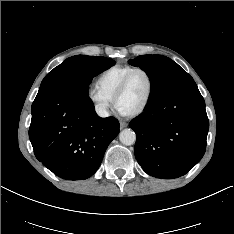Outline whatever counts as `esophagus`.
I'll return each instance as SVG.
<instances>
[{"instance_id": "1", "label": "esophagus", "mask_w": 234, "mask_h": 234, "mask_svg": "<svg viewBox=\"0 0 234 234\" xmlns=\"http://www.w3.org/2000/svg\"><path fill=\"white\" fill-rule=\"evenodd\" d=\"M127 127V123L125 121H120V128L123 129Z\"/></svg>"}]
</instances>
